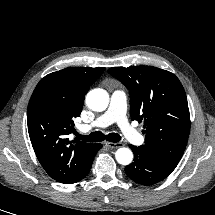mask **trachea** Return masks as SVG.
<instances>
[{
	"label": "trachea",
	"instance_id": "1",
	"mask_svg": "<svg viewBox=\"0 0 215 215\" xmlns=\"http://www.w3.org/2000/svg\"><path fill=\"white\" fill-rule=\"evenodd\" d=\"M77 138L85 141V142H101L104 139H106L109 142H119L121 140V136L118 135L117 133H110L108 135H104L100 131H96L91 133L90 135H81V134H76Z\"/></svg>",
	"mask_w": 215,
	"mask_h": 215
}]
</instances>
